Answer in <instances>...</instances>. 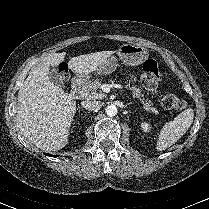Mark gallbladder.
<instances>
[{
    "mask_svg": "<svg viewBox=\"0 0 209 209\" xmlns=\"http://www.w3.org/2000/svg\"><path fill=\"white\" fill-rule=\"evenodd\" d=\"M49 79L55 85L63 86V81L61 79V76L58 73V71L56 70V68H54V67H51L49 70Z\"/></svg>",
    "mask_w": 209,
    "mask_h": 209,
    "instance_id": "obj_1",
    "label": "gallbladder"
}]
</instances>
